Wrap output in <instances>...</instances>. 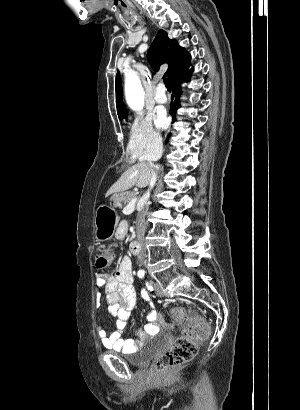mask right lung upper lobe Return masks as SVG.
Returning a JSON list of instances; mask_svg holds the SVG:
<instances>
[{"instance_id": "right-lung-upper-lobe-1", "label": "right lung upper lobe", "mask_w": 300, "mask_h": 410, "mask_svg": "<svg viewBox=\"0 0 300 410\" xmlns=\"http://www.w3.org/2000/svg\"><path fill=\"white\" fill-rule=\"evenodd\" d=\"M147 58L154 70H158L163 63L168 64V70L164 76L171 80L189 63L191 56L176 41L169 39L167 33L160 30L151 44ZM116 106L119 119L127 116V110L122 101V83L119 72L116 75Z\"/></svg>"}]
</instances>
